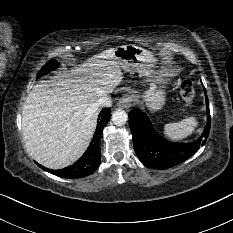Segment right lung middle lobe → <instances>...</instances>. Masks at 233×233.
Here are the masks:
<instances>
[{"label": "right lung middle lobe", "mask_w": 233, "mask_h": 233, "mask_svg": "<svg viewBox=\"0 0 233 233\" xmlns=\"http://www.w3.org/2000/svg\"><path fill=\"white\" fill-rule=\"evenodd\" d=\"M58 66V62L56 60H50L48 63H46L41 70L39 71L37 77L39 78L40 76L50 72L51 70H54Z\"/></svg>", "instance_id": "dd1d6c3e"}]
</instances>
